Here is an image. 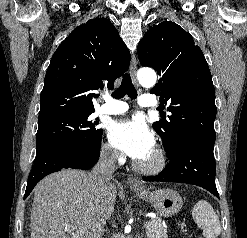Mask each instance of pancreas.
Returning a JSON list of instances; mask_svg holds the SVG:
<instances>
[{
	"instance_id": "1",
	"label": "pancreas",
	"mask_w": 247,
	"mask_h": 238,
	"mask_svg": "<svg viewBox=\"0 0 247 238\" xmlns=\"http://www.w3.org/2000/svg\"><path fill=\"white\" fill-rule=\"evenodd\" d=\"M145 228L147 238H168L167 229L160 219H151Z\"/></svg>"
}]
</instances>
